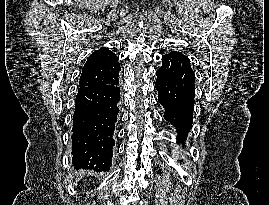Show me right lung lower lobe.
<instances>
[{"label":"right lung lower lobe","instance_id":"1","mask_svg":"<svg viewBox=\"0 0 269 205\" xmlns=\"http://www.w3.org/2000/svg\"><path fill=\"white\" fill-rule=\"evenodd\" d=\"M119 79L112 84L80 87L75 100L72 163L77 169L109 171L120 101Z\"/></svg>","mask_w":269,"mask_h":205}]
</instances>
